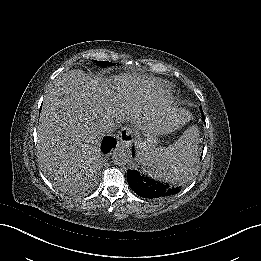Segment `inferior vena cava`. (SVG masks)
Here are the masks:
<instances>
[{"label": "inferior vena cava", "mask_w": 261, "mask_h": 261, "mask_svg": "<svg viewBox=\"0 0 261 261\" xmlns=\"http://www.w3.org/2000/svg\"><path fill=\"white\" fill-rule=\"evenodd\" d=\"M120 126L118 124H115L114 122L108 123L105 126V133L107 134H113Z\"/></svg>", "instance_id": "602c4592"}]
</instances>
